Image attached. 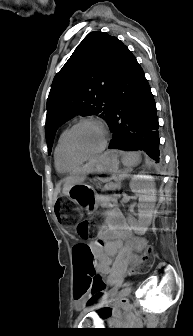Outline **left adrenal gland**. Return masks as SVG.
Segmentation results:
<instances>
[{"mask_svg":"<svg viewBox=\"0 0 193 336\" xmlns=\"http://www.w3.org/2000/svg\"><path fill=\"white\" fill-rule=\"evenodd\" d=\"M126 176H127V174H126L125 172H123V173L119 176L120 181H122ZM120 181H119V182H120Z\"/></svg>","mask_w":193,"mask_h":336,"instance_id":"a2214340","label":"left adrenal gland"}]
</instances>
